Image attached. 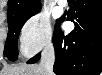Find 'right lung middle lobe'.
Instances as JSON below:
<instances>
[{"label": "right lung middle lobe", "mask_w": 102, "mask_h": 75, "mask_svg": "<svg viewBox=\"0 0 102 75\" xmlns=\"http://www.w3.org/2000/svg\"><path fill=\"white\" fill-rule=\"evenodd\" d=\"M39 11L40 8L32 11H26L11 16H7L9 32L5 43L4 55L9 60L11 61L17 60L18 57L17 41L23 24L31 16L37 14Z\"/></svg>", "instance_id": "1"}]
</instances>
